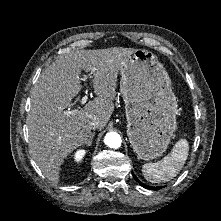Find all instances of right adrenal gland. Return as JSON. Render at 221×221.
Segmentation results:
<instances>
[{
	"label": "right adrenal gland",
	"mask_w": 221,
	"mask_h": 221,
	"mask_svg": "<svg viewBox=\"0 0 221 221\" xmlns=\"http://www.w3.org/2000/svg\"><path fill=\"white\" fill-rule=\"evenodd\" d=\"M94 135H95V133H92L91 136H90V138L85 142V144H86L87 146H91L92 140H93V138H94Z\"/></svg>",
	"instance_id": "obj_1"
}]
</instances>
